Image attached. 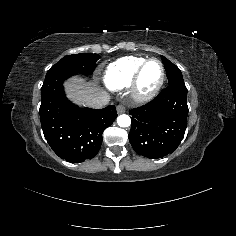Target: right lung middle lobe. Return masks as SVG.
Wrapping results in <instances>:
<instances>
[{"label":"right lung middle lobe","mask_w":236,"mask_h":236,"mask_svg":"<svg viewBox=\"0 0 236 236\" xmlns=\"http://www.w3.org/2000/svg\"><path fill=\"white\" fill-rule=\"evenodd\" d=\"M99 58L98 54L90 53L67 55L47 72L46 78L63 73L90 75L96 68V61Z\"/></svg>","instance_id":"obj_1"}]
</instances>
